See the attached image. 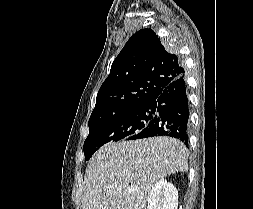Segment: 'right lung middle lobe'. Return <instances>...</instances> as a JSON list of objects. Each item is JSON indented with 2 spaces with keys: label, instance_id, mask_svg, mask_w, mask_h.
<instances>
[{
  "label": "right lung middle lobe",
  "instance_id": "1",
  "mask_svg": "<svg viewBox=\"0 0 253 209\" xmlns=\"http://www.w3.org/2000/svg\"><path fill=\"white\" fill-rule=\"evenodd\" d=\"M153 117L151 106L145 104L116 115L89 120V135L83 147L85 160L109 142L129 140L141 132Z\"/></svg>",
  "mask_w": 253,
  "mask_h": 209
}]
</instances>
